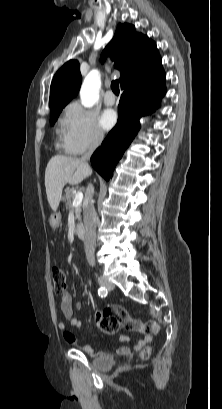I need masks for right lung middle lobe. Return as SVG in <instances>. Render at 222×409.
<instances>
[{
    "mask_svg": "<svg viewBox=\"0 0 222 409\" xmlns=\"http://www.w3.org/2000/svg\"><path fill=\"white\" fill-rule=\"evenodd\" d=\"M63 108L52 110L50 112V123L53 125L55 121L57 120V117L59 116L60 112L62 111Z\"/></svg>",
    "mask_w": 222,
    "mask_h": 409,
    "instance_id": "dd1d6c3e",
    "label": "right lung middle lobe"
}]
</instances>
